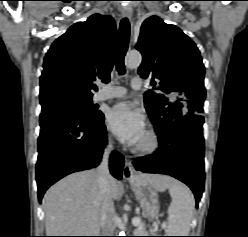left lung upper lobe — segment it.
I'll return each mask as SVG.
<instances>
[{"instance_id":"5c2ea615","label":"left lung upper lobe","mask_w":248,"mask_h":237,"mask_svg":"<svg viewBox=\"0 0 248 237\" xmlns=\"http://www.w3.org/2000/svg\"><path fill=\"white\" fill-rule=\"evenodd\" d=\"M136 48L143 56L138 73L144 79L151 77L150 85H156L157 92L144 94V103L158 134L183 115L203 112L205 68L195 43L180 28L149 17Z\"/></svg>"}]
</instances>
